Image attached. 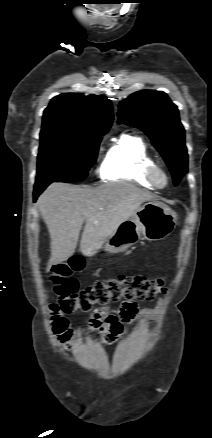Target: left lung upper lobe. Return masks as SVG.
I'll return each instance as SVG.
<instances>
[{"mask_svg": "<svg viewBox=\"0 0 212 438\" xmlns=\"http://www.w3.org/2000/svg\"><path fill=\"white\" fill-rule=\"evenodd\" d=\"M117 115L119 123L137 127L149 136L177 185L187 173L188 155L176 105L162 91L143 90L121 101Z\"/></svg>", "mask_w": 212, "mask_h": 438, "instance_id": "left-lung-upper-lobe-1", "label": "left lung upper lobe"}]
</instances>
